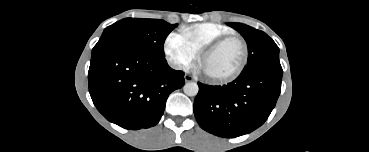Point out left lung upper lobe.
Returning <instances> with one entry per match:
<instances>
[{"label":"left lung upper lobe","instance_id":"5c2ea615","mask_svg":"<svg viewBox=\"0 0 369 152\" xmlns=\"http://www.w3.org/2000/svg\"><path fill=\"white\" fill-rule=\"evenodd\" d=\"M237 30L248 45V62L240 75L247 76L260 70H282L279 48L264 32L241 23H227Z\"/></svg>","mask_w":369,"mask_h":152}]
</instances>
